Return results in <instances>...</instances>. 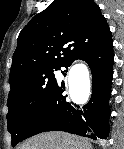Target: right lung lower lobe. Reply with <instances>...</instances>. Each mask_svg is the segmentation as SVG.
<instances>
[{"mask_svg":"<svg viewBox=\"0 0 124 149\" xmlns=\"http://www.w3.org/2000/svg\"><path fill=\"white\" fill-rule=\"evenodd\" d=\"M77 59L86 61L91 69L90 101L82 107L69 102L64 95L65 86L58 83L27 124L21 141L45 131H64L94 140L108 137L114 60L112 38Z\"/></svg>","mask_w":124,"mask_h":149,"instance_id":"obj_1","label":"right lung lower lobe"}]
</instances>
